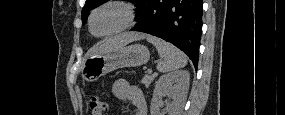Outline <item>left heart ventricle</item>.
I'll use <instances>...</instances> for the list:
<instances>
[{"label":"left heart ventricle","mask_w":285,"mask_h":115,"mask_svg":"<svg viewBox=\"0 0 285 115\" xmlns=\"http://www.w3.org/2000/svg\"><path fill=\"white\" fill-rule=\"evenodd\" d=\"M123 21V15L115 7H105L98 11L93 19V31L103 34L116 29Z\"/></svg>","instance_id":"left-heart-ventricle-1"}]
</instances>
